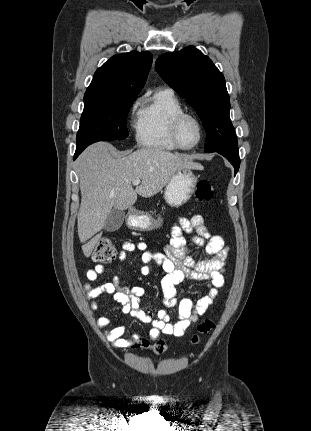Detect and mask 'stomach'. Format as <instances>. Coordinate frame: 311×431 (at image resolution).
Segmentation results:
<instances>
[{
	"instance_id": "obj_1",
	"label": "stomach",
	"mask_w": 311,
	"mask_h": 431,
	"mask_svg": "<svg viewBox=\"0 0 311 431\" xmlns=\"http://www.w3.org/2000/svg\"><path fill=\"white\" fill-rule=\"evenodd\" d=\"M197 184V178L190 168L176 172L164 190V200L170 208H179L191 200ZM162 223V217H152L148 212H132L126 217V225L136 231H149Z\"/></svg>"
}]
</instances>
